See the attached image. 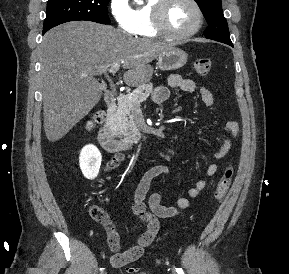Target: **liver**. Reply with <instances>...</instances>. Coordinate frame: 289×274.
I'll list each match as a JSON object with an SVG mask.
<instances>
[{"mask_svg":"<svg viewBox=\"0 0 289 274\" xmlns=\"http://www.w3.org/2000/svg\"><path fill=\"white\" fill-rule=\"evenodd\" d=\"M173 45L134 38L108 25L73 21L49 30L40 46L44 130L55 142L64 137L100 101L103 87L95 76L112 64L128 71L129 86L147 83L151 61Z\"/></svg>","mask_w":289,"mask_h":274,"instance_id":"1","label":"liver"}]
</instances>
